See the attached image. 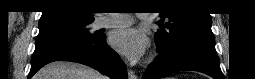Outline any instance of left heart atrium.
I'll return each instance as SVG.
<instances>
[{
	"instance_id": "39dd6f15",
	"label": "left heart atrium",
	"mask_w": 255,
	"mask_h": 79,
	"mask_svg": "<svg viewBox=\"0 0 255 79\" xmlns=\"http://www.w3.org/2000/svg\"><path fill=\"white\" fill-rule=\"evenodd\" d=\"M109 42L115 50L134 62L143 57L148 45L147 37L134 28L114 30Z\"/></svg>"
}]
</instances>
